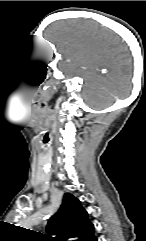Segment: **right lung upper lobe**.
I'll return each mask as SVG.
<instances>
[{
    "label": "right lung upper lobe",
    "mask_w": 146,
    "mask_h": 241,
    "mask_svg": "<svg viewBox=\"0 0 146 241\" xmlns=\"http://www.w3.org/2000/svg\"><path fill=\"white\" fill-rule=\"evenodd\" d=\"M49 241H95L94 226L80 201L70 193L64 195L62 205L47 225ZM52 235H56L53 237Z\"/></svg>",
    "instance_id": "right-lung-upper-lobe-1"
}]
</instances>
